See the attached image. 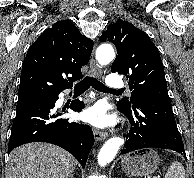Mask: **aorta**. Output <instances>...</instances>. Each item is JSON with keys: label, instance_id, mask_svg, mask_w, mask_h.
Instances as JSON below:
<instances>
[{"label": "aorta", "instance_id": "aorta-1", "mask_svg": "<svg viewBox=\"0 0 194 178\" xmlns=\"http://www.w3.org/2000/svg\"><path fill=\"white\" fill-rule=\"evenodd\" d=\"M115 58V52L110 44H101L96 50V59L100 65H107ZM124 140L120 137H112L105 142L98 154L100 166H106L116 156Z\"/></svg>", "mask_w": 194, "mask_h": 178}]
</instances>
